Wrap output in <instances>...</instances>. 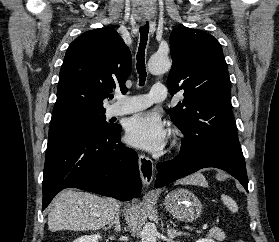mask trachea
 Wrapping results in <instances>:
<instances>
[{"mask_svg": "<svg viewBox=\"0 0 279 242\" xmlns=\"http://www.w3.org/2000/svg\"><path fill=\"white\" fill-rule=\"evenodd\" d=\"M140 32V43H139V48L137 52V71L139 74V85L143 86L146 80V69H145V49L148 41V32H149V24L148 22L140 27L139 29Z\"/></svg>", "mask_w": 279, "mask_h": 242, "instance_id": "1", "label": "trachea"}]
</instances>
